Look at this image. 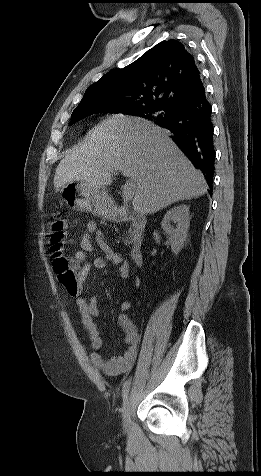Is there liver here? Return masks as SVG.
I'll return each mask as SVG.
<instances>
[{
  "label": "liver",
  "mask_w": 261,
  "mask_h": 476,
  "mask_svg": "<svg viewBox=\"0 0 261 476\" xmlns=\"http://www.w3.org/2000/svg\"><path fill=\"white\" fill-rule=\"evenodd\" d=\"M120 171L133 185L134 211L154 214L180 200L207 192L203 174L167 131L139 117L114 115L90 130L56 168L54 186L83 181L98 188Z\"/></svg>",
  "instance_id": "1"
}]
</instances>
